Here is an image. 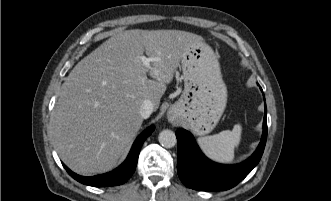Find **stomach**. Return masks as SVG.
Listing matches in <instances>:
<instances>
[{"instance_id": "stomach-1", "label": "stomach", "mask_w": 331, "mask_h": 201, "mask_svg": "<svg viewBox=\"0 0 331 201\" xmlns=\"http://www.w3.org/2000/svg\"><path fill=\"white\" fill-rule=\"evenodd\" d=\"M184 90L169 116L186 125L193 134L210 133L227 103V88L212 48L203 41L190 45L181 59Z\"/></svg>"}]
</instances>
